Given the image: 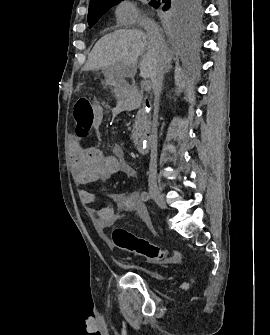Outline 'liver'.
I'll return each mask as SVG.
<instances>
[{
	"instance_id": "liver-1",
	"label": "liver",
	"mask_w": 270,
	"mask_h": 335,
	"mask_svg": "<svg viewBox=\"0 0 270 335\" xmlns=\"http://www.w3.org/2000/svg\"><path fill=\"white\" fill-rule=\"evenodd\" d=\"M139 64L142 78H153L156 70L166 68L172 58L167 44L153 46L148 36L140 30H115L96 42L91 50L84 70L115 68L120 78L135 76L139 56L144 54Z\"/></svg>"
}]
</instances>
